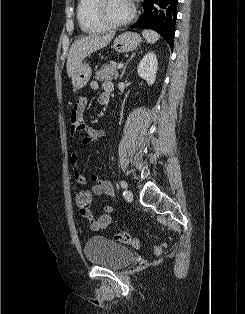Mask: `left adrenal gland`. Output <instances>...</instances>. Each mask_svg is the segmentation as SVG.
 Returning a JSON list of instances; mask_svg holds the SVG:
<instances>
[{"label": "left adrenal gland", "instance_id": "1", "mask_svg": "<svg viewBox=\"0 0 245 314\" xmlns=\"http://www.w3.org/2000/svg\"><path fill=\"white\" fill-rule=\"evenodd\" d=\"M135 53H132V55L130 56V58L128 59V61H127V63L125 64V66H124V68H123V70H122V73H121V75H120V80L122 79V77L124 76V74H125V70H126V67H127V65H128V63H129V61L133 58V57H135Z\"/></svg>", "mask_w": 245, "mask_h": 314}]
</instances>
